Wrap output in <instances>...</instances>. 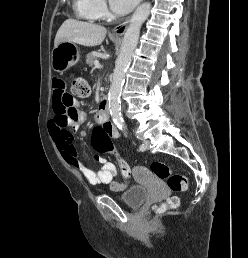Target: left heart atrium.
Instances as JSON below:
<instances>
[{"instance_id": "39dd6f15", "label": "left heart atrium", "mask_w": 248, "mask_h": 258, "mask_svg": "<svg viewBox=\"0 0 248 258\" xmlns=\"http://www.w3.org/2000/svg\"><path fill=\"white\" fill-rule=\"evenodd\" d=\"M140 0H110L112 9L118 14L132 10Z\"/></svg>"}]
</instances>
